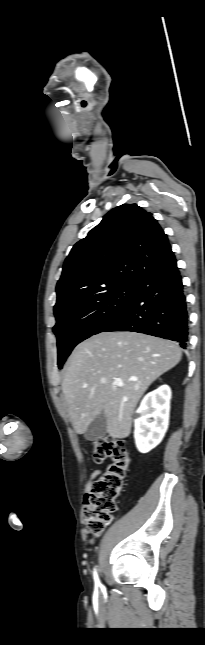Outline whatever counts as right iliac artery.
<instances>
[{
    "mask_svg": "<svg viewBox=\"0 0 205 645\" xmlns=\"http://www.w3.org/2000/svg\"><path fill=\"white\" fill-rule=\"evenodd\" d=\"M94 580H95L96 586H98L100 584V582H99V578H98L96 569H94Z\"/></svg>",
    "mask_w": 205,
    "mask_h": 645,
    "instance_id": "obj_1",
    "label": "right iliac artery"
}]
</instances>
